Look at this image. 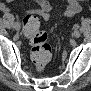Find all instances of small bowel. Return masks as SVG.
I'll return each instance as SVG.
<instances>
[{"label":"small bowel","mask_w":91,"mask_h":91,"mask_svg":"<svg viewBox=\"0 0 91 91\" xmlns=\"http://www.w3.org/2000/svg\"><path fill=\"white\" fill-rule=\"evenodd\" d=\"M38 8L33 10L32 12L34 13H38L41 16L42 15H48L51 11V4L48 0H36L35 1ZM1 10L4 12H8L9 9L6 6V4H2L1 5ZM81 11V6L79 4L78 1L76 0H70L67 2V5L65 7V9L63 10V15L64 16H73L76 15L77 13H79Z\"/></svg>","instance_id":"obj_1"}]
</instances>
